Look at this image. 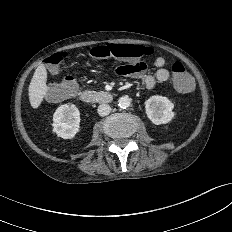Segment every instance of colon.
Returning a JSON list of instances; mask_svg holds the SVG:
<instances>
[{
	"label": "colon",
	"mask_w": 232,
	"mask_h": 232,
	"mask_svg": "<svg viewBox=\"0 0 232 232\" xmlns=\"http://www.w3.org/2000/svg\"><path fill=\"white\" fill-rule=\"evenodd\" d=\"M153 49L133 44H109L92 48L89 55L95 59L115 58L128 62L126 66L135 68L142 63V58L153 54ZM67 57L66 52H59L49 55L45 63L51 72L56 71L58 66ZM173 85L178 92L187 93L193 88V79L180 62L172 66ZM77 90V82L71 75L66 76L60 83L51 86L48 90V97L54 101L63 100L71 96Z\"/></svg>",
	"instance_id": "colon-1"
}]
</instances>
